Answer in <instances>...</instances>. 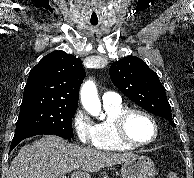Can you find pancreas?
<instances>
[{
  "label": "pancreas",
  "mask_w": 194,
  "mask_h": 178,
  "mask_svg": "<svg viewBox=\"0 0 194 178\" xmlns=\"http://www.w3.org/2000/svg\"><path fill=\"white\" fill-rule=\"evenodd\" d=\"M103 178H110V177H108V176H104Z\"/></svg>",
  "instance_id": "1"
}]
</instances>
